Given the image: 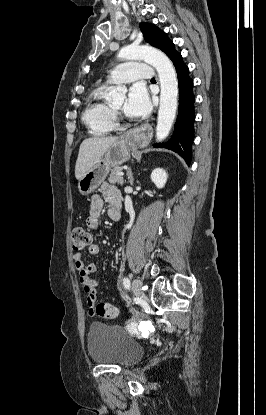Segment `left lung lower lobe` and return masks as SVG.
I'll list each match as a JSON object with an SVG mask.
<instances>
[{
	"label": "left lung lower lobe",
	"mask_w": 266,
	"mask_h": 415,
	"mask_svg": "<svg viewBox=\"0 0 266 415\" xmlns=\"http://www.w3.org/2000/svg\"><path fill=\"white\" fill-rule=\"evenodd\" d=\"M179 84V109L174 132L166 143L155 144L157 147H165L178 153L189 165L192 156V143L194 140L195 121V95L193 93V81L189 76V69L178 53L173 57Z\"/></svg>",
	"instance_id": "1"
}]
</instances>
